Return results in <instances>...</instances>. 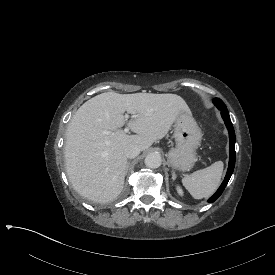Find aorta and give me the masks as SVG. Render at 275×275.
I'll return each instance as SVG.
<instances>
[{"label":"aorta","mask_w":275,"mask_h":275,"mask_svg":"<svg viewBox=\"0 0 275 275\" xmlns=\"http://www.w3.org/2000/svg\"><path fill=\"white\" fill-rule=\"evenodd\" d=\"M161 163V156L155 152L149 153L145 158V165L149 168H158Z\"/></svg>","instance_id":"762f6f07"}]
</instances>
